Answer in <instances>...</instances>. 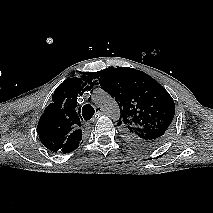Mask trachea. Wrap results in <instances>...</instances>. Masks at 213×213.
I'll return each mask as SVG.
<instances>
[{
  "mask_svg": "<svg viewBox=\"0 0 213 213\" xmlns=\"http://www.w3.org/2000/svg\"><path fill=\"white\" fill-rule=\"evenodd\" d=\"M94 113H95V110L91 105L86 104L83 106L82 116L86 121L90 120L93 117Z\"/></svg>",
  "mask_w": 213,
  "mask_h": 213,
  "instance_id": "obj_1",
  "label": "trachea"
}]
</instances>
